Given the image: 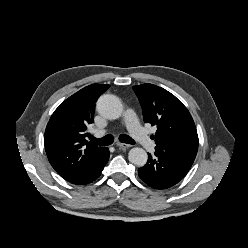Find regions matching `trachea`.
I'll return each instance as SVG.
<instances>
[{"label":"trachea","instance_id":"obj_1","mask_svg":"<svg viewBox=\"0 0 248 248\" xmlns=\"http://www.w3.org/2000/svg\"><path fill=\"white\" fill-rule=\"evenodd\" d=\"M92 143L98 144L100 146H108L111 145L114 141L111 135H106L102 138L96 139L93 136L90 138ZM119 141L126 144H135V141L128 135H120Z\"/></svg>","mask_w":248,"mask_h":248}]
</instances>
